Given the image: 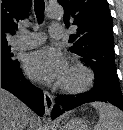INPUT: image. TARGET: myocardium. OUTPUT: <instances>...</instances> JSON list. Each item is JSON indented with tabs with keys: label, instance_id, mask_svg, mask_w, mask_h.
Segmentation results:
<instances>
[{
	"label": "myocardium",
	"instance_id": "f54148a6",
	"mask_svg": "<svg viewBox=\"0 0 123 130\" xmlns=\"http://www.w3.org/2000/svg\"><path fill=\"white\" fill-rule=\"evenodd\" d=\"M68 71L78 72L82 77L78 82H67L62 80L59 84L62 91L69 94H77L85 92L93 86L95 79L94 72L84 63L79 61L73 62L69 66Z\"/></svg>",
	"mask_w": 123,
	"mask_h": 130
}]
</instances>
